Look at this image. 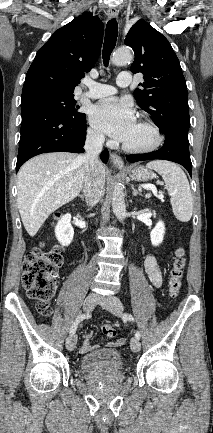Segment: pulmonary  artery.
<instances>
[{
	"mask_svg": "<svg viewBox=\"0 0 213 433\" xmlns=\"http://www.w3.org/2000/svg\"><path fill=\"white\" fill-rule=\"evenodd\" d=\"M116 83L119 87H128L131 83V75L128 72H121L117 77ZM85 84L88 87V90L82 93L83 97L97 99L107 97L116 93V88L111 85L102 84L90 80H87Z\"/></svg>",
	"mask_w": 213,
	"mask_h": 433,
	"instance_id": "obj_1",
	"label": "pulmonary artery"
}]
</instances>
